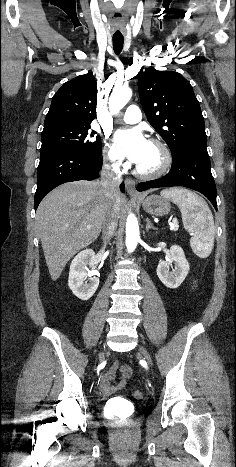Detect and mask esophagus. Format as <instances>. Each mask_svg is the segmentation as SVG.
Instances as JSON below:
<instances>
[{
    "label": "esophagus",
    "instance_id": "1",
    "mask_svg": "<svg viewBox=\"0 0 236 467\" xmlns=\"http://www.w3.org/2000/svg\"><path fill=\"white\" fill-rule=\"evenodd\" d=\"M125 187H126V191L130 195H137L138 194L137 191H136L135 181L133 179L126 178Z\"/></svg>",
    "mask_w": 236,
    "mask_h": 467
}]
</instances>
